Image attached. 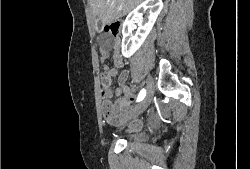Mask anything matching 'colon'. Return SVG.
<instances>
[{
  "mask_svg": "<svg viewBox=\"0 0 250 169\" xmlns=\"http://www.w3.org/2000/svg\"><path fill=\"white\" fill-rule=\"evenodd\" d=\"M103 32L107 38L106 46L109 45V42L113 39L118 38L122 32V25L118 22L105 25L103 28Z\"/></svg>",
  "mask_w": 250,
  "mask_h": 169,
  "instance_id": "5ec220e1",
  "label": "colon"
}]
</instances>
